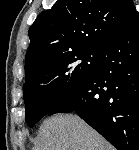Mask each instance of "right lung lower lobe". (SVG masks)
Here are the masks:
<instances>
[{
  "label": "right lung lower lobe",
  "mask_w": 139,
  "mask_h": 150,
  "mask_svg": "<svg viewBox=\"0 0 139 150\" xmlns=\"http://www.w3.org/2000/svg\"><path fill=\"white\" fill-rule=\"evenodd\" d=\"M76 113L118 150H139V16L103 46L89 77L47 115Z\"/></svg>",
  "instance_id": "1"
}]
</instances>
